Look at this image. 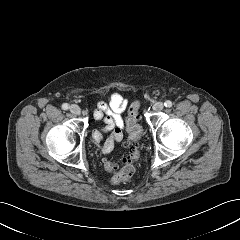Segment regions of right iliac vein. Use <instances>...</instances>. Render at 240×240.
<instances>
[{
    "label": "right iliac vein",
    "instance_id": "obj_1",
    "mask_svg": "<svg viewBox=\"0 0 240 240\" xmlns=\"http://www.w3.org/2000/svg\"><path fill=\"white\" fill-rule=\"evenodd\" d=\"M70 111H71V113H73L75 115H79L81 113L80 107L76 104H73L70 106Z\"/></svg>",
    "mask_w": 240,
    "mask_h": 240
}]
</instances>
